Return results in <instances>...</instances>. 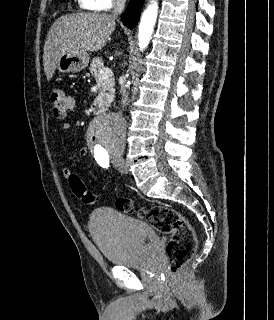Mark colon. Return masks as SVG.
I'll return each instance as SVG.
<instances>
[{
  "mask_svg": "<svg viewBox=\"0 0 274 320\" xmlns=\"http://www.w3.org/2000/svg\"><path fill=\"white\" fill-rule=\"evenodd\" d=\"M49 102L52 106V113L55 118L63 119L73 108V98L66 94L61 87H54L49 90ZM69 185L73 194L81 198L85 203L94 201L92 194L87 191L83 181L75 174H70ZM118 211L126 214H133L135 208L133 202L127 198L116 200ZM142 215L149 224L161 234H169L170 241L167 248L169 269L172 273H178L194 255L197 248V239L193 227L178 211L164 204H156L150 209L142 211Z\"/></svg>",
  "mask_w": 274,
  "mask_h": 320,
  "instance_id": "obj_1",
  "label": "colon"
}]
</instances>
